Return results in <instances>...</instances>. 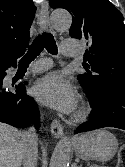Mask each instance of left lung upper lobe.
I'll return each instance as SVG.
<instances>
[{
  "label": "left lung upper lobe",
  "instance_id": "5c2ea615",
  "mask_svg": "<svg viewBox=\"0 0 125 167\" xmlns=\"http://www.w3.org/2000/svg\"><path fill=\"white\" fill-rule=\"evenodd\" d=\"M52 8L73 15L70 36L87 40L84 69L78 79L94 101L107 89H125V25L109 0H49Z\"/></svg>",
  "mask_w": 125,
  "mask_h": 167
}]
</instances>
